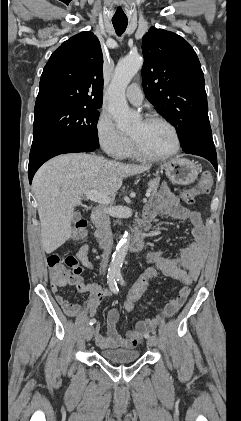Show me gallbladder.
<instances>
[{"instance_id":"gallbladder-1","label":"gallbladder","mask_w":241,"mask_h":421,"mask_svg":"<svg viewBox=\"0 0 241 421\" xmlns=\"http://www.w3.org/2000/svg\"><path fill=\"white\" fill-rule=\"evenodd\" d=\"M80 218H81V213L75 212L73 217H72V223H76L78 220H80Z\"/></svg>"}]
</instances>
